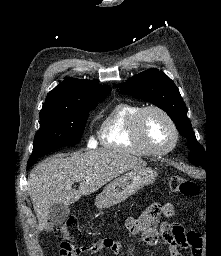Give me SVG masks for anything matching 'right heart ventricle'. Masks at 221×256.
I'll use <instances>...</instances> for the list:
<instances>
[{"mask_svg": "<svg viewBox=\"0 0 221 256\" xmlns=\"http://www.w3.org/2000/svg\"><path fill=\"white\" fill-rule=\"evenodd\" d=\"M141 105L120 102L115 104L103 117L99 128L101 144L108 149L146 156L149 153L132 137V124Z\"/></svg>", "mask_w": 221, "mask_h": 256, "instance_id": "obj_1", "label": "right heart ventricle"}]
</instances>
